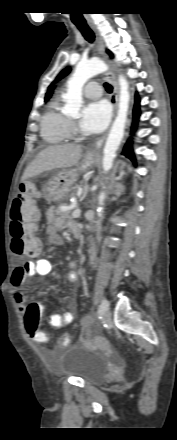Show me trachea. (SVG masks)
Here are the masks:
<instances>
[{
	"label": "trachea",
	"mask_w": 177,
	"mask_h": 440,
	"mask_svg": "<svg viewBox=\"0 0 177 440\" xmlns=\"http://www.w3.org/2000/svg\"><path fill=\"white\" fill-rule=\"evenodd\" d=\"M75 25L80 30L83 37L88 42L92 43L94 41V39H95L94 32L91 30V28L88 26L87 23H75ZM104 86H105V89L107 90V92H109V93L112 92L113 87L110 84L105 83Z\"/></svg>",
	"instance_id": "obj_1"
}]
</instances>
